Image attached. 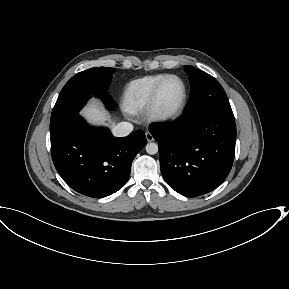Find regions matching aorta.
<instances>
[{
  "mask_svg": "<svg viewBox=\"0 0 289 289\" xmlns=\"http://www.w3.org/2000/svg\"><path fill=\"white\" fill-rule=\"evenodd\" d=\"M145 148L146 152L150 155H154L158 152V145L156 143H148Z\"/></svg>",
  "mask_w": 289,
  "mask_h": 289,
  "instance_id": "obj_1",
  "label": "aorta"
}]
</instances>
